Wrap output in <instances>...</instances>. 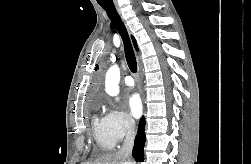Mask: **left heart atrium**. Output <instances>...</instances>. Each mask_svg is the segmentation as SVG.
I'll use <instances>...</instances> for the list:
<instances>
[{
    "mask_svg": "<svg viewBox=\"0 0 251 164\" xmlns=\"http://www.w3.org/2000/svg\"><path fill=\"white\" fill-rule=\"evenodd\" d=\"M128 109L134 118H138L142 113V102L139 94L133 93L128 97Z\"/></svg>",
    "mask_w": 251,
    "mask_h": 164,
    "instance_id": "left-heart-atrium-1",
    "label": "left heart atrium"
}]
</instances>
